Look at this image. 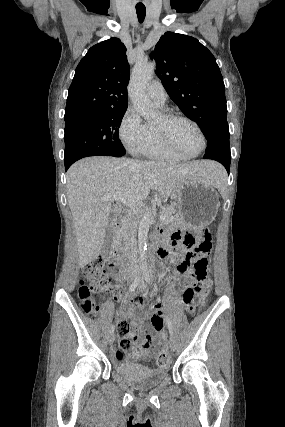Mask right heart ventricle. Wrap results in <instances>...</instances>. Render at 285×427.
Wrapping results in <instances>:
<instances>
[{
  "instance_id": "obj_1",
  "label": "right heart ventricle",
  "mask_w": 285,
  "mask_h": 427,
  "mask_svg": "<svg viewBox=\"0 0 285 427\" xmlns=\"http://www.w3.org/2000/svg\"><path fill=\"white\" fill-rule=\"evenodd\" d=\"M149 126V139L140 154L151 159L160 161H183L185 157L168 149L159 139L154 125Z\"/></svg>"
}]
</instances>
